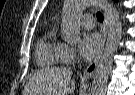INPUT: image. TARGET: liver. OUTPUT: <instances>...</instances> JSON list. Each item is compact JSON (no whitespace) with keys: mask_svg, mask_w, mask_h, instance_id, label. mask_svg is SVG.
I'll return each instance as SVG.
<instances>
[{"mask_svg":"<svg viewBox=\"0 0 135 95\" xmlns=\"http://www.w3.org/2000/svg\"><path fill=\"white\" fill-rule=\"evenodd\" d=\"M75 80L72 71L67 68H46L29 80L25 86V95H72Z\"/></svg>","mask_w":135,"mask_h":95,"instance_id":"liver-1","label":"liver"}]
</instances>
